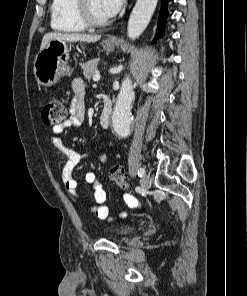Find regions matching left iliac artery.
<instances>
[{
  "label": "left iliac artery",
  "instance_id": "left-iliac-artery-1",
  "mask_svg": "<svg viewBox=\"0 0 247 296\" xmlns=\"http://www.w3.org/2000/svg\"><path fill=\"white\" fill-rule=\"evenodd\" d=\"M144 173H145L144 168H140V169L138 170V176H139V177H142V176L144 175Z\"/></svg>",
  "mask_w": 247,
  "mask_h": 296
}]
</instances>
